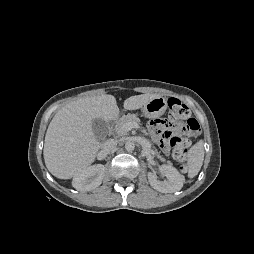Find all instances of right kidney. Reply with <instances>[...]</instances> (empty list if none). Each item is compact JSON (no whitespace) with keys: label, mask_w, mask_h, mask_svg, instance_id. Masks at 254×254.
Returning a JSON list of instances; mask_svg holds the SVG:
<instances>
[{"label":"right kidney","mask_w":254,"mask_h":254,"mask_svg":"<svg viewBox=\"0 0 254 254\" xmlns=\"http://www.w3.org/2000/svg\"><path fill=\"white\" fill-rule=\"evenodd\" d=\"M105 175V167L97 164L85 168L74 176L72 186L78 191H90L101 185Z\"/></svg>","instance_id":"right-kidney-1"}]
</instances>
